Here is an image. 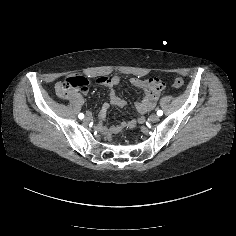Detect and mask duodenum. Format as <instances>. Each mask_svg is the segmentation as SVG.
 Returning a JSON list of instances; mask_svg holds the SVG:
<instances>
[{
    "instance_id": "obj_1",
    "label": "duodenum",
    "mask_w": 236,
    "mask_h": 236,
    "mask_svg": "<svg viewBox=\"0 0 236 236\" xmlns=\"http://www.w3.org/2000/svg\"><path fill=\"white\" fill-rule=\"evenodd\" d=\"M115 84H116V83H115L113 80L109 81V83H108L109 86H112V85H115ZM137 85H138L139 87L149 89V90H148L149 92H148V94H147L145 100H144L142 103L138 104L137 107H138V109H139V108L144 107L145 104H146L150 99H152V98L154 97V95L156 94V88H155L156 84H155V83L149 84V83H147V82H139ZM75 103H78V102H75ZM122 127H123V126H118V127H116V128H115V132L120 131V130L122 129Z\"/></svg>"
}]
</instances>
